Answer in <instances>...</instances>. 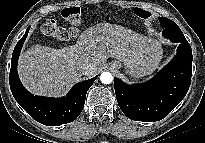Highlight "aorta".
<instances>
[{
	"mask_svg": "<svg viewBox=\"0 0 205 143\" xmlns=\"http://www.w3.org/2000/svg\"><path fill=\"white\" fill-rule=\"evenodd\" d=\"M100 80L103 84H110L113 81V76L110 72H103L100 75Z\"/></svg>",
	"mask_w": 205,
	"mask_h": 143,
	"instance_id": "obj_1",
	"label": "aorta"
}]
</instances>
